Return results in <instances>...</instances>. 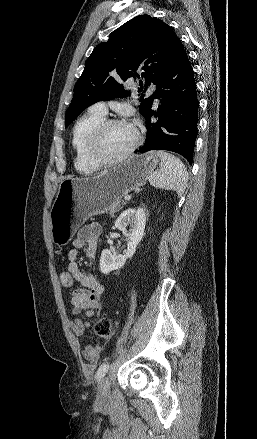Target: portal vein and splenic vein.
<instances>
[{"mask_svg": "<svg viewBox=\"0 0 257 439\" xmlns=\"http://www.w3.org/2000/svg\"><path fill=\"white\" fill-rule=\"evenodd\" d=\"M124 199H125V200H130V199H131V196H130V195H127V196L124 197Z\"/></svg>", "mask_w": 257, "mask_h": 439, "instance_id": "18ae733b", "label": "portal vein and splenic vein"}]
</instances>
